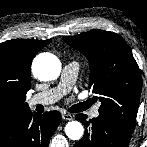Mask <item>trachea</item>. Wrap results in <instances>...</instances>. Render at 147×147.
Segmentation results:
<instances>
[{"instance_id": "1", "label": "trachea", "mask_w": 147, "mask_h": 147, "mask_svg": "<svg viewBox=\"0 0 147 147\" xmlns=\"http://www.w3.org/2000/svg\"><path fill=\"white\" fill-rule=\"evenodd\" d=\"M83 110H85V104L84 103L77 104V105H74L71 108H69V111L72 112V113L81 112Z\"/></svg>"}]
</instances>
